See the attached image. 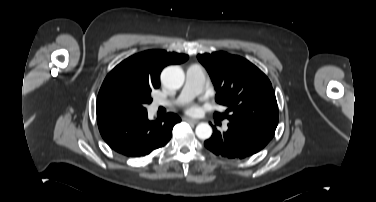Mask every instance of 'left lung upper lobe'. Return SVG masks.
<instances>
[{"instance_id":"left-lung-upper-lobe-1","label":"left lung upper lobe","mask_w":376,"mask_h":202,"mask_svg":"<svg viewBox=\"0 0 376 202\" xmlns=\"http://www.w3.org/2000/svg\"><path fill=\"white\" fill-rule=\"evenodd\" d=\"M216 90L217 103L226 107L218 119L249 121L276 129L278 106L267 76L255 65L225 52L197 55Z\"/></svg>"}]
</instances>
